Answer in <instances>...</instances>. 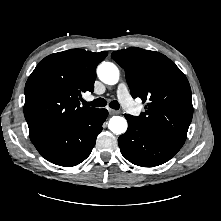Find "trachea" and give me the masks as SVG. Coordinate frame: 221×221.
I'll return each instance as SVG.
<instances>
[{"label":"trachea","instance_id":"3493384b","mask_svg":"<svg viewBox=\"0 0 221 221\" xmlns=\"http://www.w3.org/2000/svg\"><path fill=\"white\" fill-rule=\"evenodd\" d=\"M85 105L94 106V107H104L106 106L107 102L103 98H98L92 102H83ZM110 108L118 110L120 108L119 103L116 100H113L109 103Z\"/></svg>","mask_w":221,"mask_h":221}]
</instances>
